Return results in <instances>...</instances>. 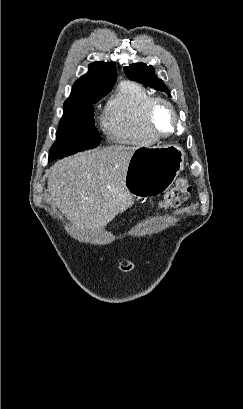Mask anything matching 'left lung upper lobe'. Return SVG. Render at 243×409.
<instances>
[{
	"label": "left lung upper lobe",
	"mask_w": 243,
	"mask_h": 409,
	"mask_svg": "<svg viewBox=\"0 0 243 409\" xmlns=\"http://www.w3.org/2000/svg\"><path fill=\"white\" fill-rule=\"evenodd\" d=\"M125 74L132 80L143 83L151 88L167 91L165 84L157 78L154 68L145 63H136L124 67Z\"/></svg>",
	"instance_id": "obj_1"
}]
</instances>
